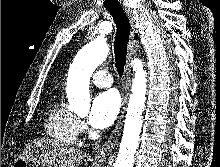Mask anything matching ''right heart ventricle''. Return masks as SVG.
<instances>
[{
  "mask_svg": "<svg viewBox=\"0 0 220 167\" xmlns=\"http://www.w3.org/2000/svg\"><path fill=\"white\" fill-rule=\"evenodd\" d=\"M45 131L58 144L72 146L78 137L76 117L59 102H55L48 111Z\"/></svg>",
  "mask_w": 220,
  "mask_h": 167,
  "instance_id": "right-heart-ventricle-1",
  "label": "right heart ventricle"
}]
</instances>
